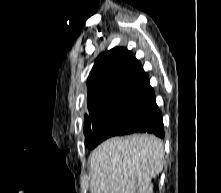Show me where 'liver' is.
<instances>
[{"label":"liver","mask_w":221,"mask_h":193,"mask_svg":"<svg viewBox=\"0 0 221 193\" xmlns=\"http://www.w3.org/2000/svg\"><path fill=\"white\" fill-rule=\"evenodd\" d=\"M89 165L92 193H153L164 145L150 134L113 137L92 151Z\"/></svg>","instance_id":"liver-1"}]
</instances>
